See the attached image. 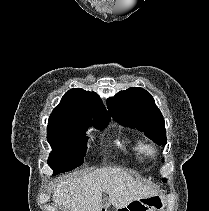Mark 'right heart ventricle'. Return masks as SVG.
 <instances>
[{
    "label": "right heart ventricle",
    "instance_id": "right-heart-ventricle-1",
    "mask_svg": "<svg viewBox=\"0 0 209 211\" xmlns=\"http://www.w3.org/2000/svg\"><path fill=\"white\" fill-rule=\"evenodd\" d=\"M128 150L131 154V156L138 162H141L144 157L145 153V144L144 142L139 138H134L129 144H128Z\"/></svg>",
    "mask_w": 209,
    "mask_h": 211
}]
</instances>
